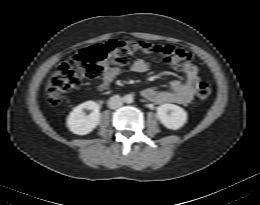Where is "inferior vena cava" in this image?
<instances>
[{
    "label": "inferior vena cava",
    "instance_id": "obj_1",
    "mask_svg": "<svg viewBox=\"0 0 260 205\" xmlns=\"http://www.w3.org/2000/svg\"><path fill=\"white\" fill-rule=\"evenodd\" d=\"M124 100L118 95L112 96L108 101V106L111 109H117L122 106Z\"/></svg>",
    "mask_w": 260,
    "mask_h": 205
}]
</instances>
